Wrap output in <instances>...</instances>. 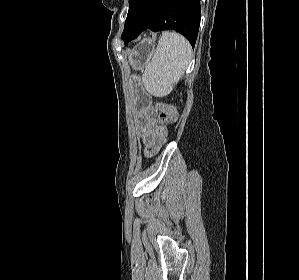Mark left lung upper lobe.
Here are the masks:
<instances>
[{"instance_id":"1","label":"left lung upper lobe","mask_w":299,"mask_h":280,"mask_svg":"<svg viewBox=\"0 0 299 280\" xmlns=\"http://www.w3.org/2000/svg\"><path fill=\"white\" fill-rule=\"evenodd\" d=\"M132 0H129V8H130V4H131ZM129 12V11H128Z\"/></svg>"}]
</instances>
